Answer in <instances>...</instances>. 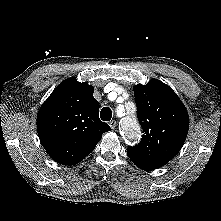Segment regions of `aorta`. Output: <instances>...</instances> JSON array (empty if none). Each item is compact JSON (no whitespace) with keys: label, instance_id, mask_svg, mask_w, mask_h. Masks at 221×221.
<instances>
[{"label":"aorta","instance_id":"1","mask_svg":"<svg viewBox=\"0 0 221 221\" xmlns=\"http://www.w3.org/2000/svg\"><path fill=\"white\" fill-rule=\"evenodd\" d=\"M122 133L129 143H136L140 138V129L133 116L129 115L122 123Z\"/></svg>","mask_w":221,"mask_h":221}]
</instances>
